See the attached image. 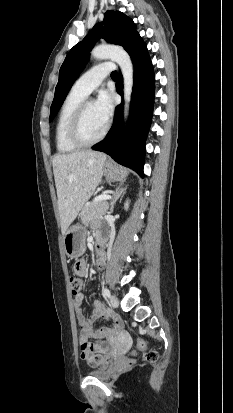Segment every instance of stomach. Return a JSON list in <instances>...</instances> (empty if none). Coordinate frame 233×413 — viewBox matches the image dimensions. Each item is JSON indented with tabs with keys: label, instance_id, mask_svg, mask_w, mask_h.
Here are the masks:
<instances>
[{
	"label": "stomach",
	"instance_id": "0dacf381",
	"mask_svg": "<svg viewBox=\"0 0 233 413\" xmlns=\"http://www.w3.org/2000/svg\"><path fill=\"white\" fill-rule=\"evenodd\" d=\"M103 173L109 181H123L128 175L127 170L117 167L111 162L104 164ZM85 228L81 225L71 226L63 237L65 253L70 258H78L85 251Z\"/></svg>",
	"mask_w": 233,
	"mask_h": 413
}]
</instances>
